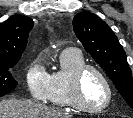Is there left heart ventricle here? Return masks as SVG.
I'll list each match as a JSON object with an SVG mask.
<instances>
[{"label":"left heart ventricle","instance_id":"1","mask_svg":"<svg viewBox=\"0 0 133 118\" xmlns=\"http://www.w3.org/2000/svg\"><path fill=\"white\" fill-rule=\"evenodd\" d=\"M81 95L85 104L97 108L107 100V88L101 77L94 71H88L82 80Z\"/></svg>","mask_w":133,"mask_h":118}]
</instances>
